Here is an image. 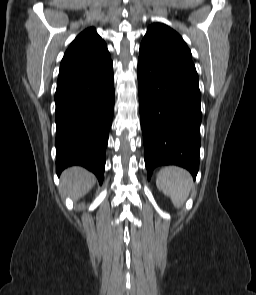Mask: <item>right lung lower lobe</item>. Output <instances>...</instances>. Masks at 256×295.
Here are the masks:
<instances>
[{"instance_id": "right-lung-lower-lobe-1", "label": "right lung lower lobe", "mask_w": 256, "mask_h": 295, "mask_svg": "<svg viewBox=\"0 0 256 295\" xmlns=\"http://www.w3.org/2000/svg\"><path fill=\"white\" fill-rule=\"evenodd\" d=\"M55 103L57 174L81 165L102 183L114 112L112 61L58 77Z\"/></svg>"}]
</instances>
